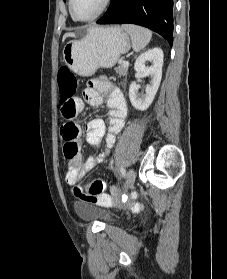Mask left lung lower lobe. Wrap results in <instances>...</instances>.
Instances as JSON below:
<instances>
[{
    "label": "left lung lower lobe",
    "instance_id": "1",
    "mask_svg": "<svg viewBox=\"0 0 227 279\" xmlns=\"http://www.w3.org/2000/svg\"><path fill=\"white\" fill-rule=\"evenodd\" d=\"M98 24L131 23L147 27L173 44V0H111Z\"/></svg>",
    "mask_w": 227,
    "mask_h": 279
}]
</instances>
